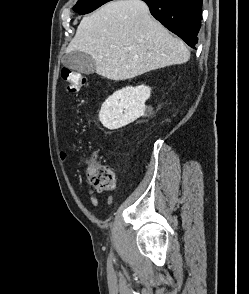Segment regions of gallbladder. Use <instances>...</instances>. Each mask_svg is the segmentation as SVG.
<instances>
[{"label": "gallbladder", "instance_id": "gallbladder-1", "mask_svg": "<svg viewBox=\"0 0 249 294\" xmlns=\"http://www.w3.org/2000/svg\"><path fill=\"white\" fill-rule=\"evenodd\" d=\"M62 63L65 67L83 74H93L96 70L92 56L80 51L66 54Z\"/></svg>", "mask_w": 249, "mask_h": 294}]
</instances>
